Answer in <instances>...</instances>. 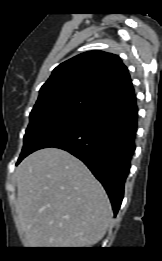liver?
Returning a JSON list of instances; mask_svg holds the SVG:
<instances>
[{"label": "liver", "instance_id": "1", "mask_svg": "<svg viewBox=\"0 0 162 261\" xmlns=\"http://www.w3.org/2000/svg\"><path fill=\"white\" fill-rule=\"evenodd\" d=\"M16 210L30 247L78 248L99 242L110 201L88 168L70 153L38 150L16 170Z\"/></svg>", "mask_w": 162, "mask_h": 261}]
</instances>
